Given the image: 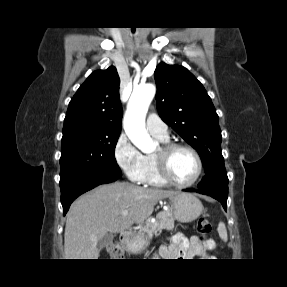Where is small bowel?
<instances>
[{
  "label": "small bowel",
  "mask_w": 287,
  "mask_h": 287,
  "mask_svg": "<svg viewBox=\"0 0 287 287\" xmlns=\"http://www.w3.org/2000/svg\"><path fill=\"white\" fill-rule=\"evenodd\" d=\"M216 248L213 239L201 241L197 236L190 239L177 233L159 247V256L165 259H192L194 257L207 258L208 252Z\"/></svg>",
  "instance_id": "small-bowel-1"
}]
</instances>
